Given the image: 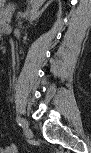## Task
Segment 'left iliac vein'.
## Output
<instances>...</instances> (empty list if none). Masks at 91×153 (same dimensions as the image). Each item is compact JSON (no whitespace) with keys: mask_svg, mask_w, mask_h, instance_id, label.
Wrapping results in <instances>:
<instances>
[{"mask_svg":"<svg viewBox=\"0 0 91 153\" xmlns=\"http://www.w3.org/2000/svg\"><path fill=\"white\" fill-rule=\"evenodd\" d=\"M25 124H27L25 122ZM23 132H26V135H24L28 140L33 139V132L29 129V127H26V130H23Z\"/></svg>","mask_w":91,"mask_h":153,"instance_id":"obj_1","label":"left iliac vein"}]
</instances>
